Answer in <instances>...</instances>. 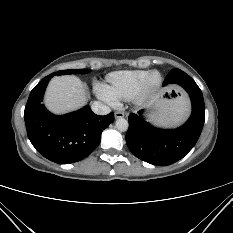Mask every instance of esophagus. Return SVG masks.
<instances>
[{
  "label": "esophagus",
  "mask_w": 233,
  "mask_h": 233,
  "mask_svg": "<svg viewBox=\"0 0 233 233\" xmlns=\"http://www.w3.org/2000/svg\"><path fill=\"white\" fill-rule=\"evenodd\" d=\"M124 117V112L122 111H116L115 112V118L118 119V118H122Z\"/></svg>",
  "instance_id": "34e87169"
}]
</instances>
